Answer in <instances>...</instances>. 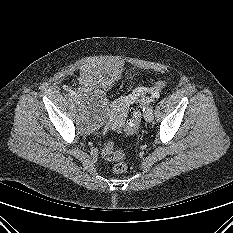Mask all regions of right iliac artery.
<instances>
[{
	"label": "right iliac artery",
	"mask_w": 233,
	"mask_h": 233,
	"mask_svg": "<svg viewBox=\"0 0 233 233\" xmlns=\"http://www.w3.org/2000/svg\"><path fill=\"white\" fill-rule=\"evenodd\" d=\"M69 95H70L72 98H74L75 92H74V91H70V92H69Z\"/></svg>",
	"instance_id": "82829eb1"
}]
</instances>
